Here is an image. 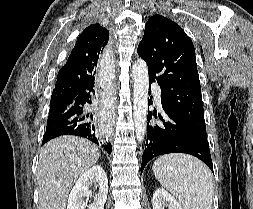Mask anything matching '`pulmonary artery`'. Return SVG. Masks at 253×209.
<instances>
[{
    "mask_svg": "<svg viewBox=\"0 0 253 209\" xmlns=\"http://www.w3.org/2000/svg\"><path fill=\"white\" fill-rule=\"evenodd\" d=\"M152 89L156 95V99L159 102L160 101V86L156 83L152 84Z\"/></svg>",
    "mask_w": 253,
    "mask_h": 209,
    "instance_id": "obj_1",
    "label": "pulmonary artery"
}]
</instances>
